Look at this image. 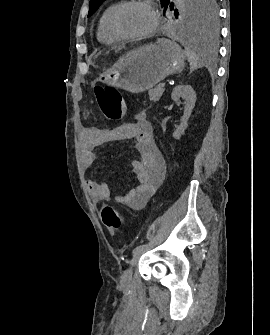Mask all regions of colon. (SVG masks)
Masks as SVG:
<instances>
[{"mask_svg": "<svg viewBox=\"0 0 270 335\" xmlns=\"http://www.w3.org/2000/svg\"><path fill=\"white\" fill-rule=\"evenodd\" d=\"M102 115L110 122L120 120L127 111V105L120 93L107 85H96L92 89ZM103 224L112 232H122L126 222L118 207L105 204L102 208Z\"/></svg>", "mask_w": 270, "mask_h": 335, "instance_id": "1", "label": "colon"}]
</instances>
